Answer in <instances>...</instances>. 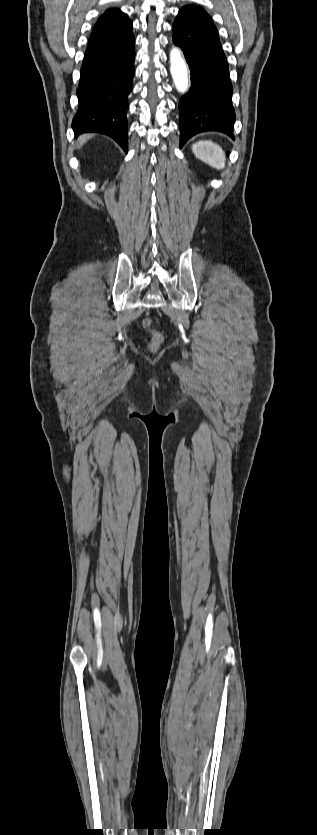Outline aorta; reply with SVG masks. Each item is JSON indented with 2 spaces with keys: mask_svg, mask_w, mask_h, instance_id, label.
Here are the masks:
<instances>
[{
  "mask_svg": "<svg viewBox=\"0 0 317 835\" xmlns=\"http://www.w3.org/2000/svg\"><path fill=\"white\" fill-rule=\"evenodd\" d=\"M170 72L176 89L180 93L187 92L189 88L188 68L181 51L176 47L170 52Z\"/></svg>",
  "mask_w": 317,
  "mask_h": 835,
  "instance_id": "1",
  "label": "aorta"
}]
</instances>
